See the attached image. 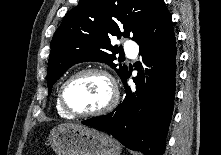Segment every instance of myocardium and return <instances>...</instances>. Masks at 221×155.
Returning a JSON list of instances; mask_svg holds the SVG:
<instances>
[{
  "label": "myocardium",
  "mask_w": 221,
  "mask_h": 155,
  "mask_svg": "<svg viewBox=\"0 0 221 155\" xmlns=\"http://www.w3.org/2000/svg\"><path fill=\"white\" fill-rule=\"evenodd\" d=\"M86 74H97V75L102 76L108 83V86L110 89V95L106 104L100 109L91 111V112L81 113V112L73 111L67 105L66 100H65V91H66L67 86L74 79H76L79 76L86 75ZM118 99H119V90H118V86H117L115 79L107 70L103 68H99V67H88V68H83V69L76 71L63 82L58 93V100L62 109L71 117H78V118H92V117L103 116L114 109V107L117 105Z\"/></svg>",
  "instance_id": "myocardium-1"
}]
</instances>
